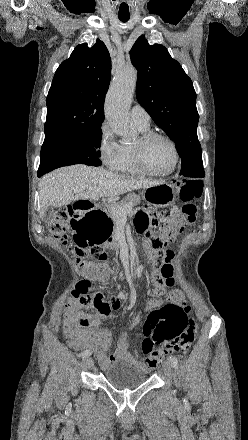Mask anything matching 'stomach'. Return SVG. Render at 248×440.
<instances>
[{
	"instance_id": "0dacf381",
	"label": "stomach",
	"mask_w": 248,
	"mask_h": 440,
	"mask_svg": "<svg viewBox=\"0 0 248 440\" xmlns=\"http://www.w3.org/2000/svg\"><path fill=\"white\" fill-rule=\"evenodd\" d=\"M175 197L174 187L167 183L151 186L143 195L147 203L155 207H167ZM111 216V209H82V218L71 220L74 241H85L86 246H116L117 220Z\"/></svg>"
}]
</instances>
